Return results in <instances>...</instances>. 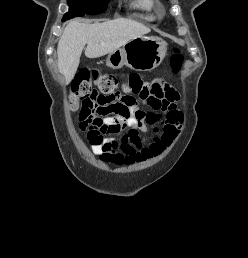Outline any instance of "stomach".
I'll return each mask as SVG.
<instances>
[{
	"label": "stomach",
	"mask_w": 248,
	"mask_h": 258,
	"mask_svg": "<svg viewBox=\"0 0 248 258\" xmlns=\"http://www.w3.org/2000/svg\"><path fill=\"white\" fill-rule=\"evenodd\" d=\"M166 51L167 44L161 38L142 36L110 53L106 64L112 69L125 65L135 71H151L162 63Z\"/></svg>",
	"instance_id": "obj_1"
}]
</instances>
